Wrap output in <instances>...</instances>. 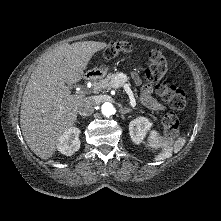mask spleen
<instances>
[{"instance_id": "spleen-1", "label": "spleen", "mask_w": 221, "mask_h": 221, "mask_svg": "<svg viewBox=\"0 0 221 221\" xmlns=\"http://www.w3.org/2000/svg\"><path fill=\"white\" fill-rule=\"evenodd\" d=\"M185 142H186L185 138L180 137L172 146L171 141H165V139L161 137L156 130H153L150 132V135L147 139V146L153 149L157 148L162 149V152L155 157V161H161L171 157L173 151L174 152L180 151L184 146Z\"/></svg>"}]
</instances>
